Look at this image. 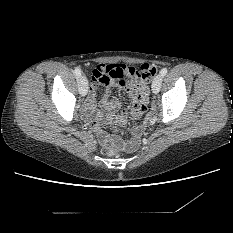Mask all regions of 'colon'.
I'll use <instances>...</instances> for the list:
<instances>
[{
  "instance_id": "1",
  "label": "colon",
  "mask_w": 233,
  "mask_h": 233,
  "mask_svg": "<svg viewBox=\"0 0 233 233\" xmlns=\"http://www.w3.org/2000/svg\"><path fill=\"white\" fill-rule=\"evenodd\" d=\"M124 68L125 70L121 74L122 78H126V77L137 78L139 80H143L147 82L151 81L156 73L155 67L149 64H143L138 68L124 65ZM92 78L93 80H97L99 82H104V83L109 81V77L105 73L101 72L99 69L96 68L92 72ZM147 99H148V94L144 91H140L136 96V100L139 103L146 102ZM120 151L121 150L115 146H110L105 149V152L109 155H116L120 153Z\"/></svg>"
}]
</instances>
